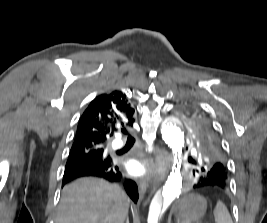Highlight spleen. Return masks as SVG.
<instances>
[{"label": "spleen", "instance_id": "obj_1", "mask_svg": "<svg viewBox=\"0 0 267 223\" xmlns=\"http://www.w3.org/2000/svg\"><path fill=\"white\" fill-rule=\"evenodd\" d=\"M215 223H233L229 211L225 204L218 201L214 209Z\"/></svg>", "mask_w": 267, "mask_h": 223}]
</instances>
